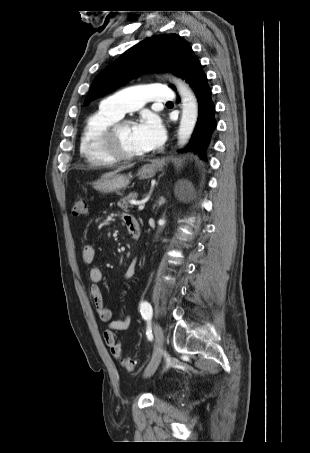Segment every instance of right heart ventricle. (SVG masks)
<instances>
[{
  "label": "right heart ventricle",
  "instance_id": "1",
  "mask_svg": "<svg viewBox=\"0 0 310 453\" xmlns=\"http://www.w3.org/2000/svg\"><path fill=\"white\" fill-rule=\"evenodd\" d=\"M121 116L102 106L86 120L80 139V153L92 167H110L118 161L110 157L103 149L101 138L105 130Z\"/></svg>",
  "mask_w": 310,
  "mask_h": 453
}]
</instances>
